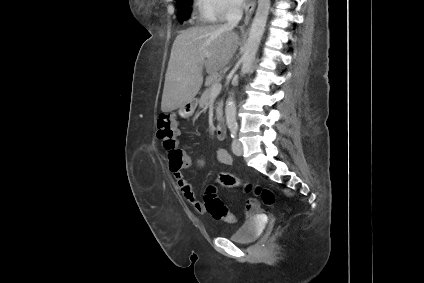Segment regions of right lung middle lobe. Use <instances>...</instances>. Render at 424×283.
<instances>
[{
	"label": "right lung middle lobe",
	"mask_w": 424,
	"mask_h": 283,
	"mask_svg": "<svg viewBox=\"0 0 424 283\" xmlns=\"http://www.w3.org/2000/svg\"><path fill=\"white\" fill-rule=\"evenodd\" d=\"M191 5L192 0H177V16L180 22L189 17L191 13Z\"/></svg>",
	"instance_id": "right-lung-middle-lobe-1"
}]
</instances>
